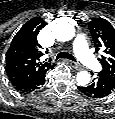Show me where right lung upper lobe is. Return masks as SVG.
<instances>
[{"label":"right lung upper lobe","mask_w":115,"mask_h":119,"mask_svg":"<svg viewBox=\"0 0 115 119\" xmlns=\"http://www.w3.org/2000/svg\"><path fill=\"white\" fill-rule=\"evenodd\" d=\"M45 25L43 19L34 17L13 38L6 53L5 67L13 86L32 81L54 67L41 59L43 53L37 41V35Z\"/></svg>","instance_id":"right-lung-upper-lobe-1"}]
</instances>
